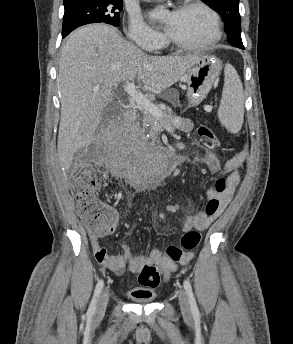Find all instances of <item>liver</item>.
Returning <instances> with one entry per match:
<instances>
[{
    "mask_svg": "<svg viewBox=\"0 0 293 344\" xmlns=\"http://www.w3.org/2000/svg\"><path fill=\"white\" fill-rule=\"evenodd\" d=\"M199 57L148 55L104 24L75 31L63 46L57 77L60 165L69 169L74 154L93 140L114 87L137 80L144 91L161 92L178 82Z\"/></svg>",
    "mask_w": 293,
    "mask_h": 344,
    "instance_id": "1",
    "label": "liver"
}]
</instances>
